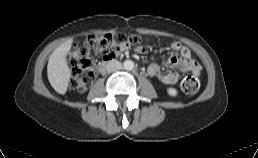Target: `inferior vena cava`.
I'll return each mask as SVG.
<instances>
[{"mask_svg": "<svg viewBox=\"0 0 258 158\" xmlns=\"http://www.w3.org/2000/svg\"><path fill=\"white\" fill-rule=\"evenodd\" d=\"M122 68V64L117 60H111L106 65V70L108 72H115L117 70H120Z\"/></svg>", "mask_w": 258, "mask_h": 158, "instance_id": "602c4592", "label": "inferior vena cava"}]
</instances>
